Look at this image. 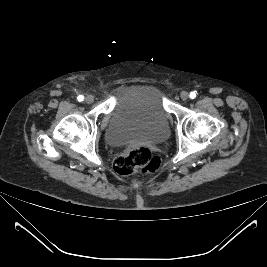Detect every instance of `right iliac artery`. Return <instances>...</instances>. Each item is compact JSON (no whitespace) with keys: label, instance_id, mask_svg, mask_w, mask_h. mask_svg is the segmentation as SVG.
<instances>
[{"label":"right iliac artery","instance_id":"right-iliac-artery-1","mask_svg":"<svg viewBox=\"0 0 267 267\" xmlns=\"http://www.w3.org/2000/svg\"><path fill=\"white\" fill-rule=\"evenodd\" d=\"M77 99L78 101H83L84 97L82 95H79Z\"/></svg>","mask_w":267,"mask_h":267}]
</instances>
